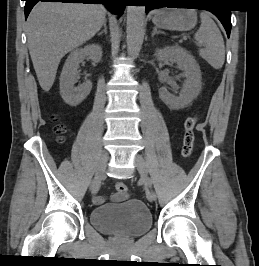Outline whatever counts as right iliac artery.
I'll return each mask as SVG.
<instances>
[{
  "instance_id": "82829eb1",
  "label": "right iliac artery",
  "mask_w": 259,
  "mask_h": 266,
  "mask_svg": "<svg viewBox=\"0 0 259 266\" xmlns=\"http://www.w3.org/2000/svg\"><path fill=\"white\" fill-rule=\"evenodd\" d=\"M91 185H93V182H90V185H88V188H91Z\"/></svg>"
}]
</instances>
